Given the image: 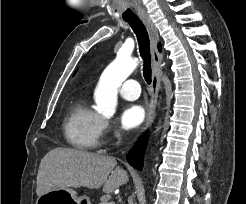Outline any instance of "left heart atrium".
<instances>
[{
  "label": "left heart atrium",
  "instance_id": "obj_1",
  "mask_svg": "<svg viewBox=\"0 0 246 204\" xmlns=\"http://www.w3.org/2000/svg\"><path fill=\"white\" fill-rule=\"evenodd\" d=\"M145 119V110L141 105H127L119 117L123 129L130 130L137 128Z\"/></svg>",
  "mask_w": 246,
  "mask_h": 204
}]
</instances>
